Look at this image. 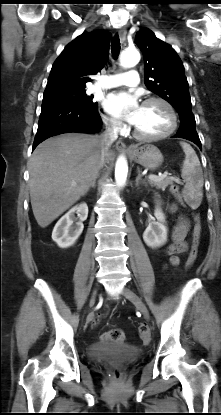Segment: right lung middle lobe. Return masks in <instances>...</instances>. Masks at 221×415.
<instances>
[{"mask_svg":"<svg viewBox=\"0 0 221 415\" xmlns=\"http://www.w3.org/2000/svg\"><path fill=\"white\" fill-rule=\"evenodd\" d=\"M92 96H87L84 89L62 90L44 94L43 101H66L74 104L98 108V103L92 101Z\"/></svg>","mask_w":221,"mask_h":415,"instance_id":"obj_1","label":"right lung middle lobe"}]
</instances>
